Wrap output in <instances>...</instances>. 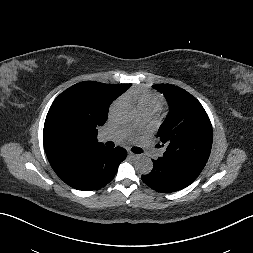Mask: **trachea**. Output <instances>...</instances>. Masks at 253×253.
<instances>
[{
    "instance_id": "1",
    "label": "trachea",
    "mask_w": 253,
    "mask_h": 253,
    "mask_svg": "<svg viewBox=\"0 0 253 253\" xmlns=\"http://www.w3.org/2000/svg\"><path fill=\"white\" fill-rule=\"evenodd\" d=\"M132 152L136 153V154H141L143 152V150L139 147H133L131 149Z\"/></svg>"
}]
</instances>
